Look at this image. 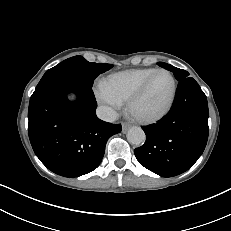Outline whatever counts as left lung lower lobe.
Instances as JSON below:
<instances>
[{"label": "left lung lower lobe", "instance_id": "1", "mask_svg": "<svg viewBox=\"0 0 231 231\" xmlns=\"http://www.w3.org/2000/svg\"><path fill=\"white\" fill-rule=\"evenodd\" d=\"M208 103L191 77L179 81L169 113L156 124L144 126L143 146L134 150L139 163L162 176L179 175L198 160L208 140Z\"/></svg>", "mask_w": 231, "mask_h": 231}]
</instances>
